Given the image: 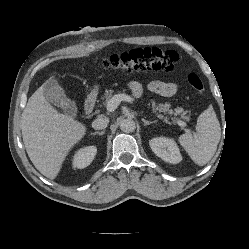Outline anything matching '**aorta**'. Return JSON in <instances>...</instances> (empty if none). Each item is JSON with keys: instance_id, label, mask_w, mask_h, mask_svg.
Returning <instances> with one entry per match:
<instances>
[{"instance_id": "obj_1", "label": "aorta", "mask_w": 249, "mask_h": 249, "mask_svg": "<svg viewBox=\"0 0 249 249\" xmlns=\"http://www.w3.org/2000/svg\"><path fill=\"white\" fill-rule=\"evenodd\" d=\"M121 131L131 133L136 129L135 122L132 119H124L120 123Z\"/></svg>"}]
</instances>
